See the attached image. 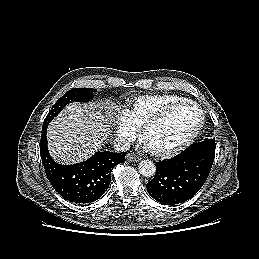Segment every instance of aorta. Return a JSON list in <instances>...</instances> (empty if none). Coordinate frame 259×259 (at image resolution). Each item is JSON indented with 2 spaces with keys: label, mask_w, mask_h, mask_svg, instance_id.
I'll return each instance as SVG.
<instances>
[{
  "label": "aorta",
  "mask_w": 259,
  "mask_h": 259,
  "mask_svg": "<svg viewBox=\"0 0 259 259\" xmlns=\"http://www.w3.org/2000/svg\"><path fill=\"white\" fill-rule=\"evenodd\" d=\"M139 173L144 177H152L155 175L156 166L148 159L142 160L138 167Z\"/></svg>",
  "instance_id": "obj_1"
}]
</instances>
